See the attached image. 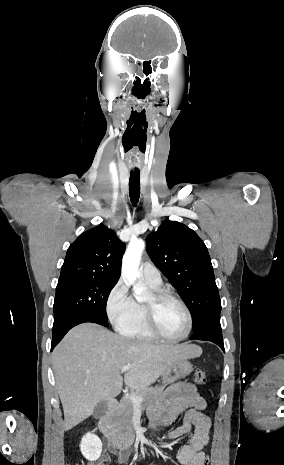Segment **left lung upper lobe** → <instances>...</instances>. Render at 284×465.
<instances>
[{"label": "left lung upper lobe", "mask_w": 284, "mask_h": 465, "mask_svg": "<svg viewBox=\"0 0 284 465\" xmlns=\"http://www.w3.org/2000/svg\"><path fill=\"white\" fill-rule=\"evenodd\" d=\"M146 242L151 260L186 302L193 331L208 321L220 320L221 301L213 267L199 236L184 224L165 221Z\"/></svg>", "instance_id": "left-lung-upper-lobe-1"}]
</instances>
